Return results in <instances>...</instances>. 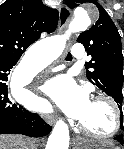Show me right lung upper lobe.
<instances>
[{
  "label": "right lung upper lobe",
  "mask_w": 124,
  "mask_h": 149,
  "mask_svg": "<svg viewBox=\"0 0 124 149\" xmlns=\"http://www.w3.org/2000/svg\"><path fill=\"white\" fill-rule=\"evenodd\" d=\"M58 18L41 0H6L0 6V62L18 61L42 32L56 29Z\"/></svg>",
  "instance_id": "1"
}]
</instances>
